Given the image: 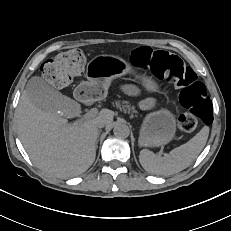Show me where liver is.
Instances as JSON below:
<instances>
[{
  "label": "liver",
  "instance_id": "6515ba94",
  "mask_svg": "<svg viewBox=\"0 0 231 231\" xmlns=\"http://www.w3.org/2000/svg\"><path fill=\"white\" fill-rule=\"evenodd\" d=\"M114 112L102 109L96 117L83 122L67 119L35 106L22 93L16 119L20 140L34 164L59 177L70 178L84 173L94 162L98 138L97 124L113 123Z\"/></svg>",
  "mask_w": 231,
  "mask_h": 231
}]
</instances>
